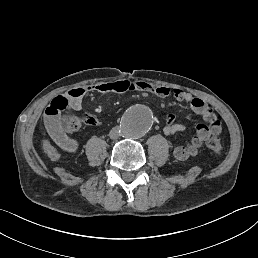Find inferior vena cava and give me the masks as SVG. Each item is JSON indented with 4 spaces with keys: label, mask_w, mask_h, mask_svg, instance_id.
Listing matches in <instances>:
<instances>
[{
    "label": "inferior vena cava",
    "mask_w": 258,
    "mask_h": 258,
    "mask_svg": "<svg viewBox=\"0 0 258 258\" xmlns=\"http://www.w3.org/2000/svg\"><path fill=\"white\" fill-rule=\"evenodd\" d=\"M120 127L119 126H115L113 127L111 130H110V133H109V136L111 139H116L119 137V134H120Z\"/></svg>",
    "instance_id": "obj_1"
}]
</instances>
